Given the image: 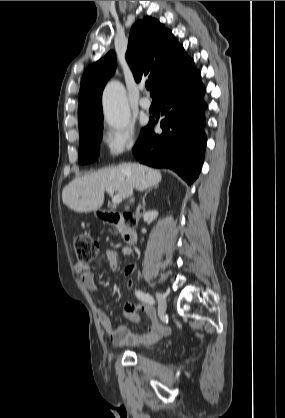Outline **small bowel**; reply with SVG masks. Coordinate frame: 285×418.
<instances>
[{"instance_id": "obj_1", "label": "small bowel", "mask_w": 285, "mask_h": 418, "mask_svg": "<svg viewBox=\"0 0 285 418\" xmlns=\"http://www.w3.org/2000/svg\"><path fill=\"white\" fill-rule=\"evenodd\" d=\"M106 259L108 265L111 269H117L119 266V258L117 253L114 250H107L106 251ZM136 270L135 264H128L124 267L123 273L128 280L126 281L127 286H132L133 282L130 277ZM75 271L81 278L83 285L90 291L95 292L97 290L94 278L92 274L89 272V265L86 263H77L75 264ZM138 309H142L145 313L146 318L149 321H153L154 312L153 309L143 303L141 305H137L134 303H125L121 311L122 313L126 314L131 318L136 317V312ZM99 318L107 335L111 338L112 342L116 346H137V345H144V344H151L158 339L162 338L169 332V329L163 325H156L150 331V333L146 336H136L134 335L127 327L125 323H118L115 324L113 321L104 313L99 314Z\"/></svg>"}]
</instances>
